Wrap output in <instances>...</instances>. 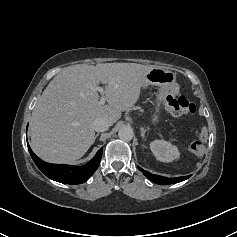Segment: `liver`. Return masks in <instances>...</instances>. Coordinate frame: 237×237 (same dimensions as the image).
<instances>
[{"label":"liver","instance_id":"obj_1","mask_svg":"<svg viewBox=\"0 0 237 237\" xmlns=\"http://www.w3.org/2000/svg\"><path fill=\"white\" fill-rule=\"evenodd\" d=\"M136 63L69 66L48 84L32 112L31 147L51 163H71L94 143L93 122L110 126L139 99L145 75L153 69ZM105 85L107 105L98 104L97 85Z\"/></svg>","mask_w":237,"mask_h":237}]
</instances>
